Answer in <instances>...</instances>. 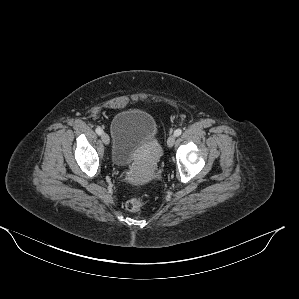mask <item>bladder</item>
Returning <instances> with one entry per match:
<instances>
[{"instance_id": "1", "label": "bladder", "mask_w": 299, "mask_h": 299, "mask_svg": "<svg viewBox=\"0 0 299 299\" xmlns=\"http://www.w3.org/2000/svg\"><path fill=\"white\" fill-rule=\"evenodd\" d=\"M111 133L112 162L117 167H124L132 163L140 147L155 142L157 123L151 114L140 109H129L114 117Z\"/></svg>"}]
</instances>
